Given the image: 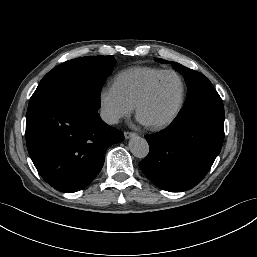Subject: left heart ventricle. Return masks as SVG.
<instances>
[{"label":"left heart ventricle","instance_id":"obj_1","mask_svg":"<svg viewBox=\"0 0 257 257\" xmlns=\"http://www.w3.org/2000/svg\"><path fill=\"white\" fill-rule=\"evenodd\" d=\"M181 87L178 79L173 75H165L154 86L151 95L143 103L140 116L147 123H157L168 118L174 111Z\"/></svg>","mask_w":257,"mask_h":257}]
</instances>
